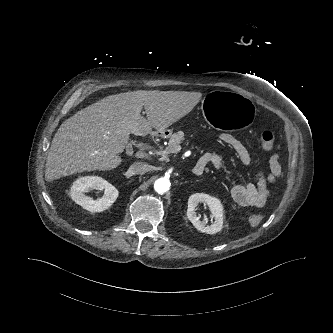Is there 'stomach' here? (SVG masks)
<instances>
[{
	"label": "stomach",
	"mask_w": 333,
	"mask_h": 333,
	"mask_svg": "<svg viewBox=\"0 0 333 333\" xmlns=\"http://www.w3.org/2000/svg\"><path fill=\"white\" fill-rule=\"evenodd\" d=\"M201 116L212 129L230 134L246 132L254 123L255 109L244 96L231 91H215L202 102ZM170 134V130H163Z\"/></svg>",
	"instance_id": "stomach-1"
}]
</instances>
